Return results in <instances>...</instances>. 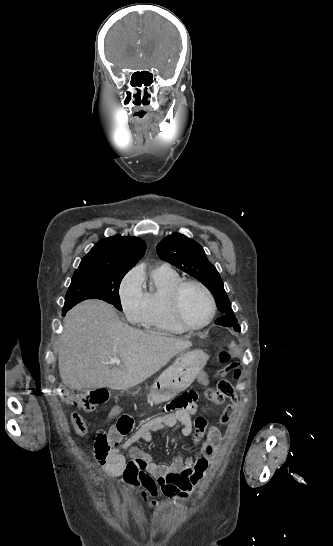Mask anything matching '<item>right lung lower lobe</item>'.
I'll return each mask as SVG.
<instances>
[{"mask_svg":"<svg viewBox=\"0 0 333 546\" xmlns=\"http://www.w3.org/2000/svg\"><path fill=\"white\" fill-rule=\"evenodd\" d=\"M67 311H68V310H64V311H63V315H65V313H66Z\"/></svg>","mask_w":333,"mask_h":546,"instance_id":"1","label":"right lung lower lobe"}]
</instances>
